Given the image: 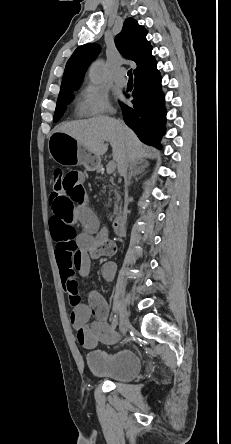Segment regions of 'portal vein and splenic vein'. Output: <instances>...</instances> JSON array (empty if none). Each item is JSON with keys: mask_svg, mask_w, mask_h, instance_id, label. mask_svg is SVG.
I'll use <instances>...</instances> for the list:
<instances>
[{"mask_svg": "<svg viewBox=\"0 0 231 444\" xmlns=\"http://www.w3.org/2000/svg\"><path fill=\"white\" fill-rule=\"evenodd\" d=\"M116 169V163L114 161H110L107 165V174H112Z\"/></svg>", "mask_w": 231, "mask_h": 444, "instance_id": "portal-vein-and-splenic-vein-1", "label": "portal vein and splenic vein"}]
</instances>
